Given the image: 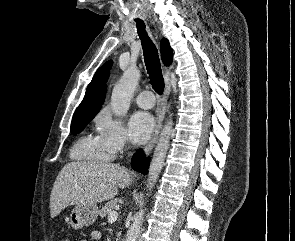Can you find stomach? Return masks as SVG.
Here are the masks:
<instances>
[{"label":"stomach","instance_id":"0dacf381","mask_svg":"<svg viewBox=\"0 0 295 241\" xmlns=\"http://www.w3.org/2000/svg\"><path fill=\"white\" fill-rule=\"evenodd\" d=\"M98 207L94 205H76L69 217V223L74 229H81L90 226L98 217Z\"/></svg>","mask_w":295,"mask_h":241}]
</instances>
